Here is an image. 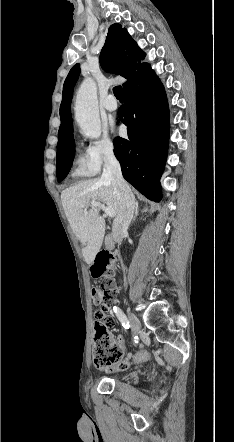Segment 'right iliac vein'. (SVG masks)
<instances>
[{
    "mask_svg": "<svg viewBox=\"0 0 234 442\" xmlns=\"http://www.w3.org/2000/svg\"><path fill=\"white\" fill-rule=\"evenodd\" d=\"M129 320L131 323V328L134 334H138L141 329V324L139 319L134 314H129Z\"/></svg>",
    "mask_w": 234,
    "mask_h": 442,
    "instance_id": "right-iliac-vein-1",
    "label": "right iliac vein"
}]
</instances>
